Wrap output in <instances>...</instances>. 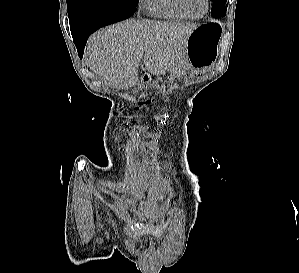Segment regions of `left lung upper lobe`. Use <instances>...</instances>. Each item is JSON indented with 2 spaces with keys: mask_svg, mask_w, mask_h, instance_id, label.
<instances>
[{
  "mask_svg": "<svg viewBox=\"0 0 299 273\" xmlns=\"http://www.w3.org/2000/svg\"><path fill=\"white\" fill-rule=\"evenodd\" d=\"M213 6L211 15L215 18L223 17L226 15V0H212Z\"/></svg>",
  "mask_w": 299,
  "mask_h": 273,
  "instance_id": "obj_1",
  "label": "left lung upper lobe"
}]
</instances>
